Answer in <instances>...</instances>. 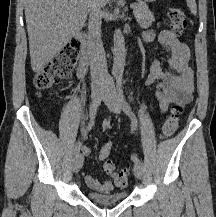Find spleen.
I'll return each instance as SVG.
<instances>
[{
    "instance_id": "spleen-1",
    "label": "spleen",
    "mask_w": 216,
    "mask_h": 217,
    "mask_svg": "<svg viewBox=\"0 0 216 217\" xmlns=\"http://www.w3.org/2000/svg\"><path fill=\"white\" fill-rule=\"evenodd\" d=\"M187 6L193 15L197 13V5L195 0H186Z\"/></svg>"
}]
</instances>
